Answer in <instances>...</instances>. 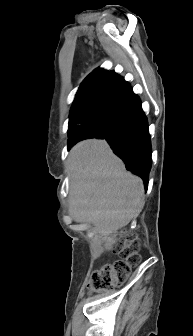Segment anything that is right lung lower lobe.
I'll return each instance as SVG.
<instances>
[{"label":"right lung lower lobe","instance_id":"1","mask_svg":"<svg viewBox=\"0 0 193 336\" xmlns=\"http://www.w3.org/2000/svg\"><path fill=\"white\" fill-rule=\"evenodd\" d=\"M105 139L126 168L139 175L148 186L151 142L141 101L130 87L115 105L103 129L94 137ZM75 143L68 144L69 148Z\"/></svg>","mask_w":193,"mask_h":336}]
</instances>
